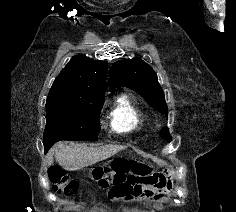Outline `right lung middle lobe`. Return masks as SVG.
Masks as SVG:
<instances>
[{
	"mask_svg": "<svg viewBox=\"0 0 236 212\" xmlns=\"http://www.w3.org/2000/svg\"><path fill=\"white\" fill-rule=\"evenodd\" d=\"M104 98L87 103L46 102L45 152L59 140H96Z\"/></svg>",
	"mask_w": 236,
	"mask_h": 212,
	"instance_id": "right-lung-middle-lobe-1",
	"label": "right lung middle lobe"
}]
</instances>
